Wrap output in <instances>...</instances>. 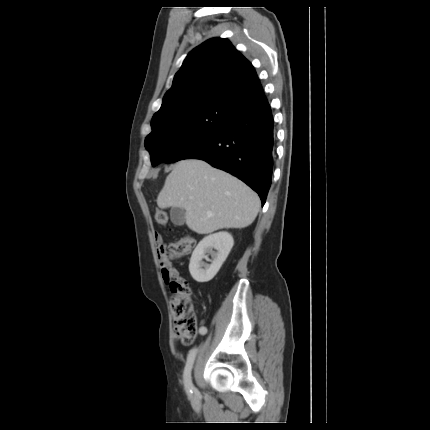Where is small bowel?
Wrapping results in <instances>:
<instances>
[{
	"instance_id": "small-bowel-1",
	"label": "small bowel",
	"mask_w": 430,
	"mask_h": 430,
	"mask_svg": "<svg viewBox=\"0 0 430 430\" xmlns=\"http://www.w3.org/2000/svg\"><path fill=\"white\" fill-rule=\"evenodd\" d=\"M155 241L157 246L164 244L162 237L159 234L155 235ZM157 260H158V263L160 264L163 283H166V285L169 287L172 286L174 283L173 277H178L179 271L169 263V258L166 256L165 252L163 251L158 252ZM206 333H207V327L204 325L200 326L199 334L205 335ZM173 338L176 340L178 336L174 335Z\"/></svg>"
}]
</instances>
